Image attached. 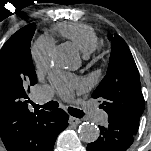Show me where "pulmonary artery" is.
Returning a JSON list of instances; mask_svg holds the SVG:
<instances>
[{"label":"pulmonary artery","instance_id":"e3ab8cb5","mask_svg":"<svg viewBox=\"0 0 151 151\" xmlns=\"http://www.w3.org/2000/svg\"><path fill=\"white\" fill-rule=\"evenodd\" d=\"M52 96L51 90L47 87H43L36 95L37 102H47ZM90 115L92 119L97 123H103L106 120V114L101 111L91 110Z\"/></svg>","mask_w":151,"mask_h":151}]
</instances>
